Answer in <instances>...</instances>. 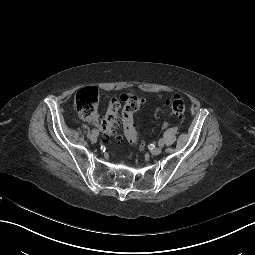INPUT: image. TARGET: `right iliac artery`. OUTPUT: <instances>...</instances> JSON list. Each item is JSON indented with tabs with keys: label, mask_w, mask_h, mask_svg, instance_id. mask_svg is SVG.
Segmentation results:
<instances>
[{
	"label": "right iliac artery",
	"mask_w": 255,
	"mask_h": 255,
	"mask_svg": "<svg viewBox=\"0 0 255 255\" xmlns=\"http://www.w3.org/2000/svg\"><path fill=\"white\" fill-rule=\"evenodd\" d=\"M92 133L95 134V135H97V136H98V134H99V132H98L97 129H92Z\"/></svg>",
	"instance_id": "82829eb1"
}]
</instances>
